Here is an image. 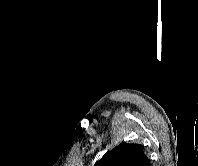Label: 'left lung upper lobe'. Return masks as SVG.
I'll list each match as a JSON object with an SVG mask.
<instances>
[{"mask_svg":"<svg viewBox=\"0 0 198 166\" xmlns=\"http://www.w3.org/2000/svg\"><path fill=\"white\" fill-rule=\"evenodd\" d=\"M95 166H150V160L142 145L123 142L107 152Z\"/></svg>","mask_w":198,"mask_h":166,"instance_id":"obj_1","label":"left lung upper lobe"}]
</instances>
